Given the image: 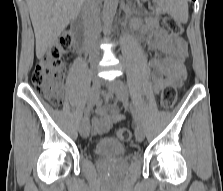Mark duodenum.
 <instances>
[{
    "label": "duodenum",
    "instance_id": "1",
    "mask_svg": "<svg viewBox=\"0 0 223 191\" xmlns=\"http://www.w3.org/2000/svg\"><path fill=\"white\" fill-rule=\"evenodd\" d=\"M72 32L77 38L78 47H81V41L85 36V29L83 23L80 21L79 18L75 19L72 24Z\"/></svg>",
    "mask_w": 223,
    "mask_h": 191
}]
</instances>
